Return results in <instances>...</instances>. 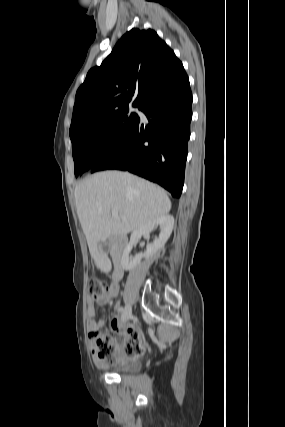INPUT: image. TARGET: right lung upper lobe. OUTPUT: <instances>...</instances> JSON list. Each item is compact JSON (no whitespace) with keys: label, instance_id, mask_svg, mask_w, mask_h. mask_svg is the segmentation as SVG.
I'll return each instance as SVG.
<instances>
[{"label":"right lung upper lobe","instance_id":"1","mask_svg":"<svg viewBox=\"0 0 285 427\" xmlns=\"http://www.w3.org/2000/svg\"><path fill=\"white\" fill-rule=\"evenodd\" d=\"M183 68L154 30L133 28L99 67L92 68L76 93L70 133L115 111L140 104L156 85Z\"/></svg>","mask_w":285,"mask_h":427}]
</instances>
